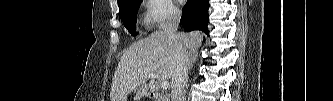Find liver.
I'll return each mask as SVG.
<instances>
[{"instance_id": "liver-1", "label": "liver", "mask_w": 333, "mask_h": 101, "mask_svg": "<svg viewBox=\"0 0 333 101\" xmlns=\"http://www.w3.org/2000/svg\"><path fill=\"white\" fill-rule=\"evenodd\" d=\"M178 35L186 50L197 49L203 39L199 31ZM174 66V50L168 36L163 31L151 33L122 55L111 84V101H127L128 94L136 87L134 101H139L148 93V75L156 74L159 81H166L172 78Z\"/></svg>"}]
</instances>
